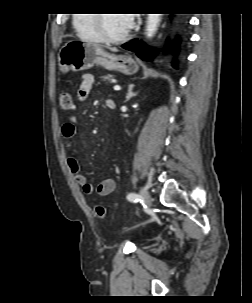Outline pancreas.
<instances>
[{
    "label": "pancreas",
    "mask_w": 252,
    "mask_h": 303,
    "mask_svg": "<svg viewBox=\"0 0 252 303\" xmlns=\"http://www.w3.org/2000/svg\"><path fill=\"white\" fill-rule=\"evenodd\" d=\"M112 78H114V76H113V75H110V74L101 77L102 81H107V80H110V79H112Z\"/></svg>",
    "instance_id": "pancreas-1"
}]
</instances>
